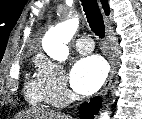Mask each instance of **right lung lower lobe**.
I'll use <instances>...</instances> for the list:
<instances>
[{"label":"right lung lower lobe","mask_w":142,"mask_h":119,"mask_svg":"<svg viewBox=\"0 0 142 119\" xmlns=\"http://www.w3.org/2000/svg\"><path fill=\"white\" fill-rule=\"evenodd\" d=\"M100 106V99L97 97L92 98L90 103H83L80 107V118L93 119L94 114H97Z\"/></svg>","instance_id":"1"}]
</instances>
